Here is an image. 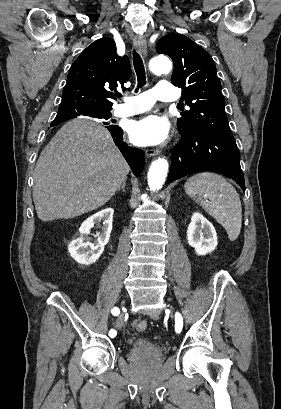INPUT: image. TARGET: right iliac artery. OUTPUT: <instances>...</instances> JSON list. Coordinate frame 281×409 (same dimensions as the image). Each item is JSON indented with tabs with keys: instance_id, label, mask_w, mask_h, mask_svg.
<instances>
[{
	"instance_id": "right-iliac-artery-1",
	"label": "right iliac artery",
	"mask_w": 281,
	"mask_h": 409,
	"mask_svg": "<svg viewBox=\"0 0 281 409\" xmlns=\"http://www.w3.org/2000/svg\"><path fill=\"white\" fill-rule=\"evenodd\" d=\"M111 312L115 316L120 313V311H119V309L117 307H114ZM109 336L110 337H115L116 336V331L115 330H110L109 331Z\"/></svg>"
}]
</instances>
